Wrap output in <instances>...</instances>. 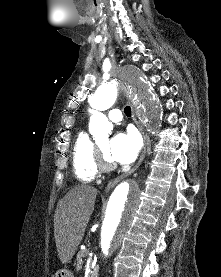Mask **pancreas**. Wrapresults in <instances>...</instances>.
Instances as JSON below:
<instances>
[{
  "instance_id": "cf45deb5",
  "label": "pancreas",
  "mask_w": 221,
  "mask_h": 277,
  "mask_svg": "<svg viewBox=\"0 0 221 277\" xmlns=\"http://www.w3.org/2000/svg\"><path fill=\"white\" fill-rule=\"evenodd\" d=\"M87 251L86 250H80L77 254V269L79 270L83 264L82 258L86 257L87 255Z\"/></svg>"
}]
</instances>
